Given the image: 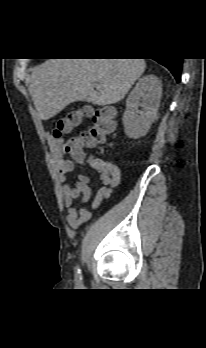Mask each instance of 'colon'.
Segmentation results:
<instances>
[{
    "instance_id": "1",
    "label": "colon",
    "mask_w": 206,
    "mask_h": 348,
    "mask_svg": "<svg viewBox=\"0 0 206 348\" xmlns=\"http://www.w3.org/2000/svg\"><path fill=\"white\" fill-rule=\"evenodd\" d=\"M86 116L91 119V126L80 135L72 137L64 145L66 153L74 158H80L89 147L104 142L114 130V111L105 106L95 110L88 109L85 112L73 111L58 118L53 130V138H62L65 133L79 126Z\"/></svg>"
}]
</instances>
